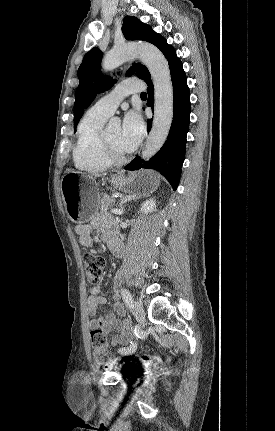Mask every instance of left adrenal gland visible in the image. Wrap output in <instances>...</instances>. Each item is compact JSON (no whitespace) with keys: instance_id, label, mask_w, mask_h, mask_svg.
I'll use <instances>...</instances> for the list:
<instances>
[{"instance_id":"left-adrenal-gland-1","label":"left adrenal gland","mask_w":275,"mask_h":431,"mask_svg":"<svg viewBox=\"0 0 275 431\" xmlns=\"http://www.w3.org/2000/svg\"><path fill=\"white\" fill-rule=\"evenodd\" d=\"M141 198V195L140 196H136V195H126V196H123V197H121V201H120V203H119V207H120V209L122 210V213H124V205L127 203V202H130V201H132V200H134V201H136L137 199H140Z\"/></svg>"}]
</instances>
